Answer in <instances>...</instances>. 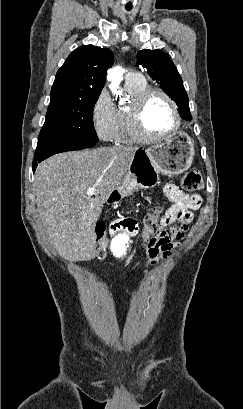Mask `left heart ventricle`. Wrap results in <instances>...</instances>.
Returning <instances> with one entry per match:
<instances>
[{"instance_id": "1", "label": "left heart ventricle", "mask_w": 243, "mask_h": 409, "mask_svg": "<svg viewBox=\"0 0 243 409\" xmlns=\"http://www.w3.org/2000/svg\"><path fill=\"white\" fill-rule=\"evenodd\" d=\"M143 121L146 130L152 135L168 132L174 125L172 110L168 102L160 95H153L145 106Z\"/></svg>"}]
</instances>
